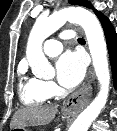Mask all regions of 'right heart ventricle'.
Returning a JSON list of instances; mask_svg holds the SVG:
<instances>
[{"label":"right heart ventricle","mask_w":117,"mask_h":131,"mask_svg":"<svg viewBox=\"0 0 117 131\" xmlns=\"http://www.w3.org/2000/svg\"><path fill=\"white\" fill-rule=\"evenodd\" d=\"M19 95L25 105H42L48 101L50 95L44 87V81L37 77L22 75L19 82Z\"/></svg>","instance_id":"obj_1"}]
</instances>
